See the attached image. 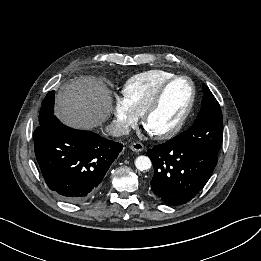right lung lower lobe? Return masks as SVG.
<instances>
[{"label": "right lung lower lobe", "mask_w": 261, "mask_h": 261, "mask_svg": "<svg viewBox=\"0 0 261 261\" xmlns=\"http://www.w3.org/2000/svg\"><path fill=\"white\" fill-rule=\"evenodd\" d=\"M122 148L96 133L71 129L54 115L34 131L35 155L46 184L72 203L96 194Z\"/></svg>", "instance_id": "obj_1"}]
</instances>
